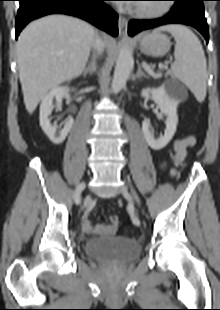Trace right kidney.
<instances>
[{"label":"right kidney","mask_w":220,"mask_h":310,"mask_svg":"<svg viewBox=\"0 0 220 310\" xmlns=\"http://www.w3.org/2000/svg\"><path fill=\"white\" fill-rule=\"evenodd\" d=\"M74 90V89H72ZM70 91V88L67 86H57L52 88L49 93H47L41 101L40 105V126L50 141L56 145L61 144L68 133L70 132L73 119L69 118L64 127L61 130H57L56 125H51L49 116L54 107L53 101L55 99L57 105L62 104L63 97Z\"/></svg>","instance_id":"1"}]
</instances>
